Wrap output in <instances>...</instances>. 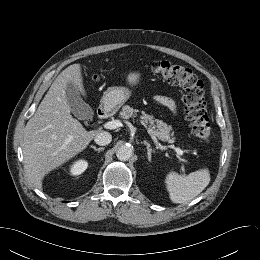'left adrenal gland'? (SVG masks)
I'll list each match as a JSON object with an SVG mask.
<instances>
[{
  "label": "left adrenal gland",
  "mask_w": 260,
  "mask_h": 260,
  "mask_svg": "<svg viewBox=\"0 0 260 260\" xmlns=\"http://www.w3.org/2000/svg\"><path fill=\"white\" fill-rule=\"evenodd\" d=\"M143 143L146 145V148H147V157H148V160L151 161V155H152V153H154L155 151L150 147V144H149L147 141H144Z\"/></svg>",
  "instance_id": "1"
}]
</instances>
